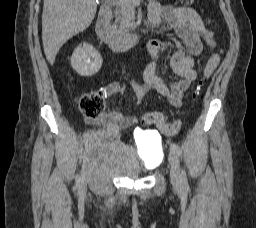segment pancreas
<instances>
[{
	"label": "pancreas",
	"instance_id": "obj_1",
	"mask_svg": "<svg viewBox=\"0 0 256 228\" xmlns=\"http://www.w3.org/2000/svg\"><path fill=\"white\" fill-rule=\"evenodd\" d=\"M135 6L133 2H119L115 11V31L119 33L128 32L136 28Z\"/></svg>",
	"mask_w": 256,
	"mask_h": 228
}]
</instances>
